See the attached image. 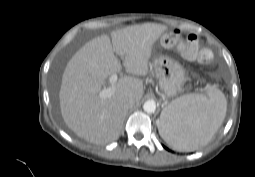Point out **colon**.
I'll return each mask as SVG.
<instances>
[{
  "instance_id": "colon-1",
  "label": "colon",
  "mask_w": 255,
  "mask_h": 177,
  "mask_svg": "<svg viewBox=\"0 0 255 177\" xmlns=\"http://www.w3.org/2000/svg\"><path fill=\"white\" fill-rule=\"evenodd\" d=\"M167 47H175L180 54L189 61H197L202 64H208L213 60V53L208 48H200L198 36L190 33L185 39L180 37L178 30L164 40Z\"/></svg>"
}]
</instances>
